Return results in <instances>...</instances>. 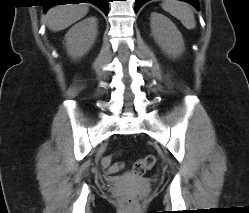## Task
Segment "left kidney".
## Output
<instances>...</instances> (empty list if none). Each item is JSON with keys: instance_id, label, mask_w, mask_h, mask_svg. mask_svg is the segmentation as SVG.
I'll return each mask as SVG.
<instances>
[{"instance_id": "5707ae66", "label": "left kidney", "mask_w": 249, "mask_h": 213, "mask_svg": "<svg viewBox=\"0 0 249 213\" xmlns=\"http://www.w3.org/2000/svg\"><path fill=\"white\" fill-rule=\"evenodd\" d=\"M152 36L160 48L170 57L177 58L184 52V40L176 25L166 16L151 14Z\"/></svg>"}]
</instances>
